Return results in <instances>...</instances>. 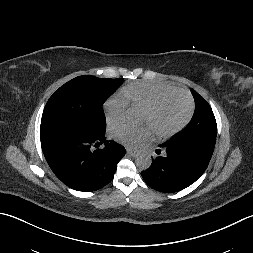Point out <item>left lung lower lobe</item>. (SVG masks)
Returning a JSON list of instances; mask_svg holds the SVG:
<instances>
[{
	"label": "left lung lower lobe",
	"instance_id": "1",
	"mask_svg": "<svg viewBox=\"0 0 253 253\" xmlns=\"http://www.w3.org/2000/svg\"><path fill=\"white\" fill-rule=\"evenodd\" d=\"M164 155L152 158L142 171L144 181L153 189L173 193L194 183L206 170L210 156L197 148L180 144H162ZM160 154L161 150H156Z\"/></svg>",
	"mask_w": 253,
	"mask_h": 253
}]
</instances>
